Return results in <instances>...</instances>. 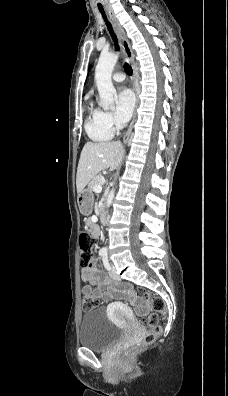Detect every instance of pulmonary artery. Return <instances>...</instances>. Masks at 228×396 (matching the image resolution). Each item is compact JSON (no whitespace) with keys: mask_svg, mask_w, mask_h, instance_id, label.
<instances>
[{"mask_svg":"<svg viewBox=\"0 0 228 396\" xmlns=\"http://www.w3.org/2000/svg\"><path fill=\"white\" fill-rule=\"evenodd\" d=\"M112 78L115 82H122L125 79V75L123 73L118 72L115 73Z\"/></svg>","mask_w":228,"mask_h":396,"instance_id":"e3ab8cb5","label":"pulmonary artery"}]
</instances>
